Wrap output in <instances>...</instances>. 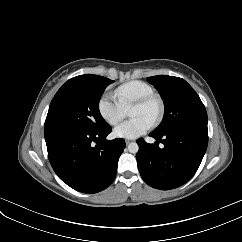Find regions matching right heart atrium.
<instances>
[{"instance_id":"1","label":"right heart atrium","mask_w":242,"mask_h":242,"mask_svg":"<svg viewBox=\"0 0 242 242\" xmlns=\"http://www.w3.org/2000/svg\"><path fill=\"white\" fill-rule=\"evenodd\" d=\"M102 118L110 125L118 124L125 117V108L112 95H104L98 103Z\"/></svg>"}]
</instances>
